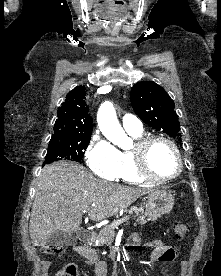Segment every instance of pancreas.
I'll use <instances>...</instances> for the list:
<instances>
[{
	"mask_svg": "<svg viewBox=\"0 0 221 276\" xmlns=\"http://www.w3.org/2000/svg\"><path fill=\"white\" fill-rule=\"evenodd\" d=\"M129 214L135 213V217H137L136 222L138 224L144 225L145 223L151 221V220H157L159 217L158 214L151 213L148 211H144L142 209H138L136 207H132L130 210L126 211ZM116 221L111 223L110 225L104 227L99 234L97 235L98 245L99 246H112V242L115 237V228L117 227Z\"/></svg>",
	"mask_w": 221,
	"mask_h": 276,
	"instance_id": "pancreas-1",
	"label": "pancreas"
}]
</instances>
